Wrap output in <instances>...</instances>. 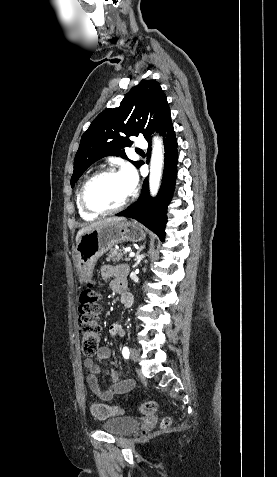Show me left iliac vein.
Masks as SVG:
<instances>
[{
  "label": "left iliac vein",
  "mask_w": 277,
  "mask_h": 477,
  "mask_svg": "<svg viewBox=\"0 0 277 477\" xmlns=\"http://www.w3.org/2000/svg\"><path fill=\"white\" fill-rule=\"evenodd\" d=\"M130 358L134 361V362H138L139 361V358H140V353L137 349L135 348H132L131 351H130Z\"/></svg>",
  "instance_id": "1"
}]
</instances>
